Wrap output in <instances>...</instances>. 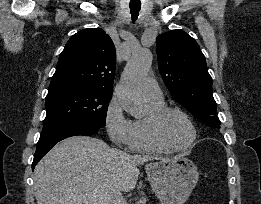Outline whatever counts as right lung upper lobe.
Wrapping results in <instances>:
<instances>
[{"label": "right lung upper lobe", "instance_id": "right-lung-upper-lobe-1", "mask_svg": "<svg viewBox=\"0 0 261 204\" xmlns=\"http://www.w3.org/2000/svg\"><path fill=\"white\" fill-rule=\"evenodd\" d=\"M116 66L114 44L102 29L74 34L59 56L48 94L74 89L113 92Z\"/></svg>", "mask_w": 261, "mask_h": 204}]
</instances>
